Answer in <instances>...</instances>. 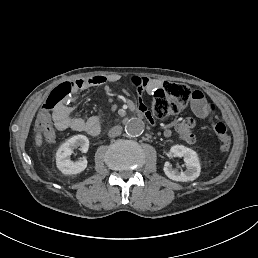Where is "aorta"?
Wrapping results in <instances>:
<instances>
[{"label": "aorta", "instance_id": "aorta-1", "mask_svg": "<svg viewBox=\"0 0 258 258\" xmlns=\"http://www.w3.org/2000/svg\"><path fill=\"white\" fill-rule=\"evenodd\" d=\"M145 128L144 122L139 118H131L125 124V132L130 137L140 136Z\"/></svg>", "mask_w": 258, "mask_h": 258}]
</instances>
